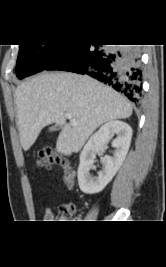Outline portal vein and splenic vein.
<instances>
[{"label": "portal vein and splenic vein", "instance_id": "obj_1", "mask_svg": "<svg viewBox=\"0 0 166 267\" xmlns=\"http://www.w3.org/2000/svg\"><path fill=\"white\" fill-rule=\"evenodd\" d=\"M65 116H66V118H68L70 120L71 125H74V126L78 125V122L72 117L71 114L67 113V114H65Z\"/></svg>", "mask_w": 166, "mask_h": 267}]
</instances>
